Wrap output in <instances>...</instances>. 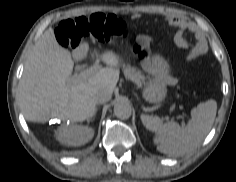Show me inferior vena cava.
Wrapping results in <instances>:
<instances>
[{
    "mask_svg": "<svg viewBox=\"0 0 236 182\" xmlns=\"http://www.w3.org/2000/svg\"><path fill=\"white\" fill-rule=\"evenodd\" d=\"M112 92L109 89H99L95 94V102L103 104L111 99Z\"/></svg>",
    "mask_w": 236,
    "mask_h": 182,
    "instance_id": "inferior-vena-cava-1",
    "label": "inferior vena cava"
}]
</instances>
